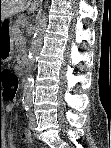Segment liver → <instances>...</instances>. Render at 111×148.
Segmentation results:
<instances>
[{
	"label": "liver",
	"mask_w": 111,
	"mask_h": 148,
	"mask_svg": "<svg viewBox=\"0 0 111 148\" xmlns=\"http://www.w3.org/2000/svg\"><path fill=\"white\" fill-rule=\"evenodd\" d=\"M39 2V0H1L0 19L3 21L8 17L25 11L29 7L30 11H34Z\"/></svg>",
	"instance_id": "6515ba94"
}]
</instances>
